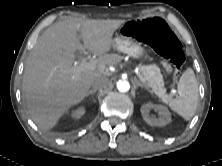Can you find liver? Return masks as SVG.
<instances>
[{
  "mask_svg": "<svg viewBox=\"0 0 222 166\" xmlns=\"http://www.w3.org/2000/svg\"><path fill=\"white\" fill-rule=\"evenodd\" d=\"M124 22L69 18L38 38L26 61L22 91L28 114L40 130L52 129L70 107L84 99L92 82L103 77L107 65L121 61V56L108 52L114 32ZM84 49L98 56V69L75 73V53Z\"/></svg>",
  "mask_w": 222,
  "mask_h": 166,
  "instance_id": "6515ba94",
  "label": "liver"
}]
</instances>
